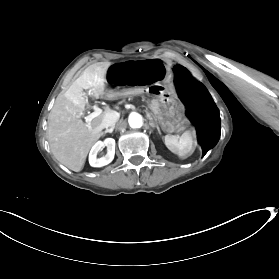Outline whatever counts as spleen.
<instances>
[{"label": "spleen", "instance_id": "1", "mask_svg": "<svg viewBox=\"0 0 279 279\" xmlns=\"http://www.w3.org/2000/svg\"><path fill=\"white\" fill-rule=\"evenodd\" d=\"M166 147L174 154L186 158L193 153V138L190 131L184 132L180 137L166 135L164 138Z\"/></svg>", "mask_w": 279, "mask_h": 279}]
</instances>
